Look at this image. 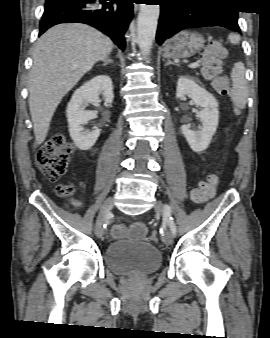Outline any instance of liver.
<instances>
[{"instance_id": "6515ba94", "label": "liver", "mask_w": 270, "mask_h": 338, "mask_svg": "<svg viewBox=\"0 0 270 338\" xmlns=\"http://www.w3.org/2000/svg\"><path fill=\"white\" fill-rule=\"evenodd\" d=\"M112 49L108 37L81 23L56 25L38 39L29 75V108L37 145L44 142L62 98Z\"/></svg>"}]
</instances>
